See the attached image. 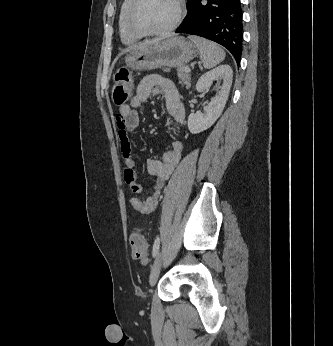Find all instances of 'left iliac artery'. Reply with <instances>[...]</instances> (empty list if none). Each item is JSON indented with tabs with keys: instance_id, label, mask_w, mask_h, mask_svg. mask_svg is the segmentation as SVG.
Masks as SVG:
<instances>
[{
	"instance_id": "44dca946",
	"label": "left iliac artery",
	"mask_w": 333,
	"mask_h": 346,
	"mask_svg": "<svg viewBox=\"0 0 333 346\" xmlns=\"http://www.w3.org/2000/svg\"><path fill=\"white\" fill-rule=\"evenodd\" d=\"M159 246H160V239L159 237L156 238L154 245H153V251H152V256L155 257L159 251Z\"/></svg>"
}]
</instances>
